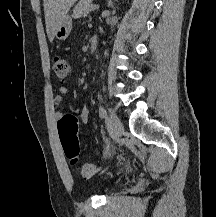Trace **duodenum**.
<instances>
[{"label": "duodenum", "mask_w": 216, "mask_h": 217, "mask_svg": "<svg viewBox=\"0 0 216 217\" xmlns=\"http://www.w3.org/2000/svg\"><path fill=\"white\" fill-rule=\"evenodd\" d=\"M98 46V38L96 36H92L90 38V47L91 50H95Z\"/></svg>", "instance_id": "410a0bca"}]
</instances>
